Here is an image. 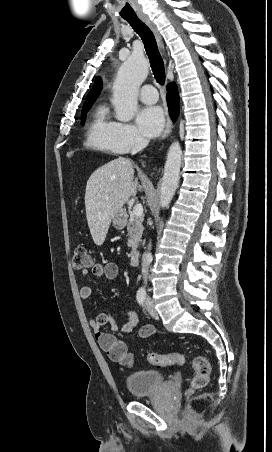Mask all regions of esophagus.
<instances>
[{"label":"esophagus","mask_w":272,"mask_h":452,"mask_svg":"<svg viewBox=\"0 0 272 452\" xmlns=\"http://www.w3.org/2000/svg\"><path fill=\"white\" fill-rule=\"evenodd\" d=\"M139 18L152 30L159 48L161 50H163L164 45H163L162 37H161V34H160L159 30L157 29L156 25L144 14L139 15ZM171 129H172V121H171L170 117L167 116L166 125H165L164 131L160 137V140L166 139L168 137V135L170 134Z\"/></svg>","instance_id":"obj_1"}]
</instances>
